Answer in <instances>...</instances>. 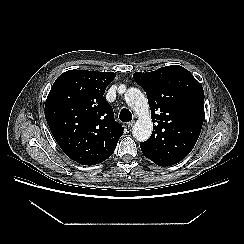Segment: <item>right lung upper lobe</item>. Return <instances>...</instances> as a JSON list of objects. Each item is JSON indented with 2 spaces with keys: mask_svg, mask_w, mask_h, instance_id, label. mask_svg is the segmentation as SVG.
Returning <instances> with one entry per match:
<instances>
[{
  "mask_svg": "<svg viewBox=\"0 0 244 244\" xmlns=\"http://www.w3.org/2000/svg\"><path fill=\"white\" fill-rule=\"evenodd\" d=\"M113 72L69 70L54 82L45 103L49 128L64 153L83 165L109 158L123 134L103 95Z\"/></svg>",
  "mask_w": 244,
  "mask_h": 244,
  "instance_id": "1",
  "label": "right lung upper lobe"
}]
</instances>
